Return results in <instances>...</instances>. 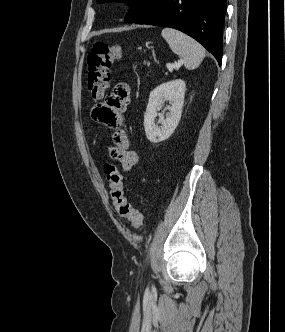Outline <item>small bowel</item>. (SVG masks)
Masks as SVG:
<instances>
[{"mask_svg": "<svg viewBox=\"0 0 285 332\" xmlns=\"http://www.w3.org/2000/svg\"><path fill=\"white\" fill-rule=\"evenodd\" d=\"M131 99V89L125 83L117 84L104 103L93 107L91 116L94 121L113 129L110 156L119 161L124 170L128 171L138 162L136 152L129 149L130 139L123 127L124 113Z\"/></svg>", "mask_w": 285, "mask_h": 332, "instance_id": "obj_1", "label": "small bowel"}]
</instances>
